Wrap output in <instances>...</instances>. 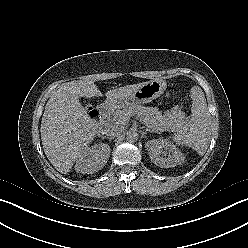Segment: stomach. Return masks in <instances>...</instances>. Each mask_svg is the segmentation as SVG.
<instances>
[{"mask_svg":"<svg viewBox=\"0 0 248 248\" xmlns=\"http://www.w3.org/2000/svg\"><path fill=\"white\" fill-rule=\"evenodd\" d=\"M166 82L162 79H153L144 82L138 89L126 98L107 99V103L115 109L124 108L133 104H144L158 98L164 93Z\"/></svg>","mask_w":248,"mask_h":248,"instance_id":"0dacf381","label":"stomach"}]
</instances>
